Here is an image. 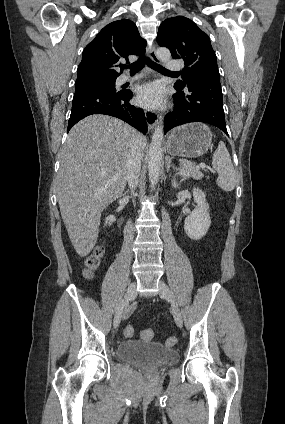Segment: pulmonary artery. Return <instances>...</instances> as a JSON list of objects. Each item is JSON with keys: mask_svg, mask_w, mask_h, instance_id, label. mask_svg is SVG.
<instances>
[{"mask_svg": "<svg viewBox=\"0 0 285 424\" xmlns=\"http://www.w3.org/2000/svg\"><path fill=\"white\" fill-rule=\"evenodd\" d=\"M167 69L169 71L176 72V71H180L182 69V66L178 61H168L167 62ZM139 78H140V76H133V77L121 76L119 78L118 82L120 84H122V83H125L127 81L136 80V79H139Z\"/></svg>", "mask_w": 285, "mask_h": 424, "instance_id": "obj_1", "label": "pulmonary artery"}]
</instances>
